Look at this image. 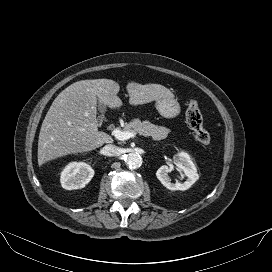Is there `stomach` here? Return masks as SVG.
Listing matches in <instances>:
<instances>
[{
	"mask_svg": "<svg viewBox=\"0 0 272 272\" xmlns=\"http://www.w3.org/2000/svg\"><path fill=\"white\" fill-rule=\"evenodd\" d=\"M156 108L161 116L174 118L181 112L180 104L175 98H163L156 102Z\"/></svg>",
	"mask_w": 272,
	"mask_h": 272,
	"instance_id": "1",
	"label": "stomach"
}]
</instances>
